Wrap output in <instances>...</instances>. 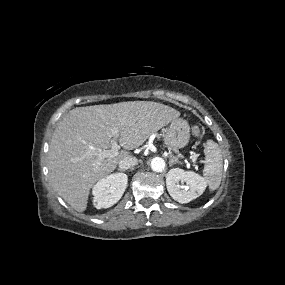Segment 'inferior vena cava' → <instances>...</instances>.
<instances>
[{
	"label": "inferior vena cava",
	"mask_w": 285,
	"mask_h": 285,
	"mask_svg": "<svg viewBox=\"0 0 285 285\" xmlns=\"http://www.w3.org/2000/svg\"><path fill=\"white\" fill-rule=\"evenodd\" d=\"M137 162H138L137 158H135V157H128V158H125V159L121 160L119 162L118 166H119V168L121 170H127V169L132 168L135 165H137Z\"/></svg>",
	"instance_id": "602c4592"
}]
</instances>
